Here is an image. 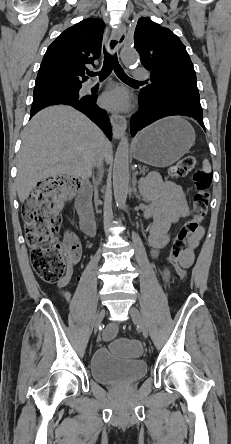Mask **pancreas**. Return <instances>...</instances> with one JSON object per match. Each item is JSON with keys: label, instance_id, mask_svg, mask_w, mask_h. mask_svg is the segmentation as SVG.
Returning a JSON list of instances; mask_svg holds the SVG:
<instances>
[{"label": "pancreas", "instance_id": "pancreas-1", "mask_svg": "<svg viewBox=\"0 0 231 444\" xmlns=\"http://www.w3.org/2000/svg\"><path fill=\"white\" fill-rule=\"evenodd\" d=\"M139 170L142 175H145L149 171V168L147 166H140Z\"/></svg>", "mask_w": 231, "mask_h": 444}]
</instances>
